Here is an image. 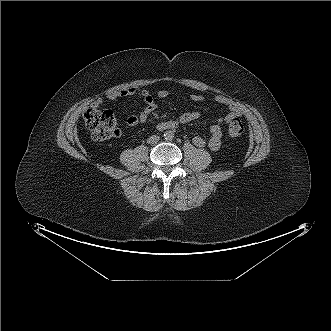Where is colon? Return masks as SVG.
<instances>
[{
  "label": "colon",
  "instance_id": "1",
  "mask_svg": "<svg viewBox=\"0 0 331 331\" xmlns=\"http://www.w3.org/2000/svg\"><path fill=\"white\" fill-rule=\"evenodd\" d=\"M83 119L92 138L96 141H106L120 133L116 116L109 109L90 106L83 113ZM228 130L232 137H239L244 132V125L238 118H235L229 123Z\"/></svg>",
  "mask_w": 331,
  "mask_h": 331
}]
</instances>
